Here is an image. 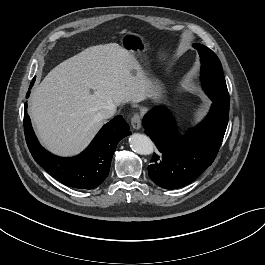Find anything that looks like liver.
Returning a JSON list of instances; mask_svg holds the SVG:
<instances>
[{"label": "liver", "mask_w": 265, "mask_h": 265, "mask_svg": "<svg viewBox=\"0 0 265 265\" xmlns=\"http://www.w3.org/2000/svg\"><path fill=\"white\" fill-rule=\"evenodd\" d=\"M150 91L151 81L130 51L116 43L96 45L53 68L34 89L29 112L46 149L74 156L103 126L101 110L140 102Z\"/></svg>", "instance_id": "liver-1"}]
</instances>
